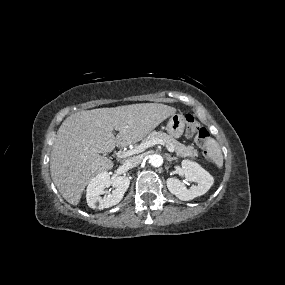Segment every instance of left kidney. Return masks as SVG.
I'll return each instance as SVG.
<instances>
[{"label":"left kidney","instance_id":"5707ae66","mask_svg":"<svg viewBox=\"0 0 285 285\" xmlns=\"http://www.w3.org/2000/svg\"><path fill=\"white\" fill-rule=\"evenodd\" d=\"M182 174L189 182H196L197 185H192L187 188L180 180L176 178L167 179V188L177 198L183 201H189L195 197L205 194L214 183L213 177L203 169L198 163L183 160Z\"/></svg>","mask_w":285,"mask_h":285}]
</instances>
